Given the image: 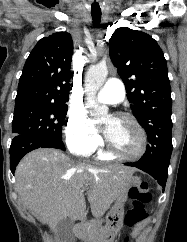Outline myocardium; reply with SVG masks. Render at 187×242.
<instances>
[{"label": "myocardium", "mask_w": 187, "mask_h": 242, "mask_svg": "<svg viewBox=\"0 0 187 242\" xmlns=\"http://www.w3.org/2000/svg\"><path fill=\"white\" fill-rule=\"evenodd\" d=\"M114 118L127 121L137 129L141 138V146H140V149L135 153H131V154L124 153L114 149L106 139L105 145H104V152L109 156H111L112 158L125 159V160H132V159H137L142 157L146 153L147 147H148V137L144 127L133 115L126 112L116 113Z\"/></svg>", "instance_id": "1"}]
</instances>
